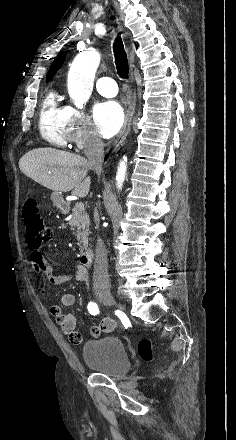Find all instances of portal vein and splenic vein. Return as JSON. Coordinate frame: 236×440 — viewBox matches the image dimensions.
Segmentation results:
<instances>
[{"instance_id":"portal-vein-and-splenic-vein-1","label":"portal vein and splenic vein","mask_w":236,"mask_h":440,"mask_svg":"<svg viewBox=\"0 0 236 440\" xmlns=\"http://www.w3.org/2000/svg\"><path fill=\"white\" fill-rule=\"evenodd\" d=\"M75 209H77L79 211H83L84 210V204L82 202H77L75 204Z\"/></svg>"}]
</instances>
